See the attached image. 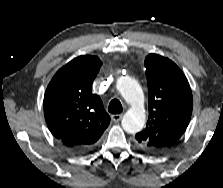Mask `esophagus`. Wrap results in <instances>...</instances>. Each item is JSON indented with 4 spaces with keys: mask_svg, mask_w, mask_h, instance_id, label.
Returning <instances> with one entry per match:
<instances>
[{
    "mask_svg": "<svg viewBox=\"0 0 223 188\" xmlns=\"http://www.w3.org/2000/svg\"><path fill=\"white\" fill-rule=\"evenodd\" d=\"M123 117V114H114L111 116L112 121L119 122Z\"/></svg>",
    "mask_w": 223,
    "mask_h": 188,
    "instance_id": "34e87169",
    "label": "esophagus"
}]
</instances>
